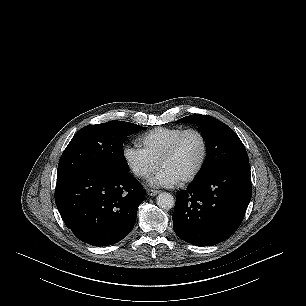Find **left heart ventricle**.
Segmentation results:
<instances>
[{
    "label": "left heart ventricle",
    "instance_id": "left-heart-ventricle-1",
    "mask_svg": "<svg viewBox=\"0 0 306 306\" xmlns=\"http://www.w3.org/2000/svg\"><path fill=\"white\" fill-rule=\"evenodd\" d=\"M202 142L195 133L187 134L181 141L176 153L161 167L170 170L180 180L190 175L200 162Z\"/></svg>",
    "mask_w": 306,
    "mask_h": 306
}]
</instances>
